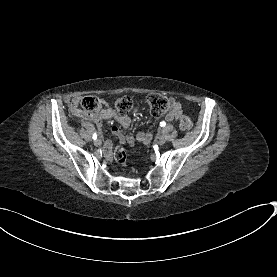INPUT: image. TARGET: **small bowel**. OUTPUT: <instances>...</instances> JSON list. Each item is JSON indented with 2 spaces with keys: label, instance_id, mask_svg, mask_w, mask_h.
Returning a JSON list of instances; mask_svg holds the SVG:
<instances>
[{
  "label": "small bowel",
  "instance_id": "obj_1",
  "mask_svg": "<svg viewBox=\"0 0 277 277\" xmlns=\"http://www.w3.org/2000/svg\"><path fill=\"white\" fill-rule=\"evenodd\" d=\"M79 98H74L70 103V111L77 117L81 118L84 121H89L96 123L101 126V122L108 119H114L116 120L123 128L127 129L131 124V116L125 115L120 116L116 109L109 105L104 100L100 101V108L94 112H85L78 108L79 105ZM139 113V109H134L132 111V115H137ZM181 117V107L179 104H175L174 108L166 115V120L168 122L176 121ZM112 133L117 136L118 138L122 139L123 136L121 132L117 128L112 129ZM137 138L139 141L143 143H148L152 139V134L148 132H140L137 135ZM104 154L106 158L112 159L115 156V153L113 151V140L110 137L105 138L104 140ZM124 144L128 146H134L135 145V139L134 138H125Z\"/></svg>",
  "mask_w": 277,
  "mask_h": 277
}]
</instances>
